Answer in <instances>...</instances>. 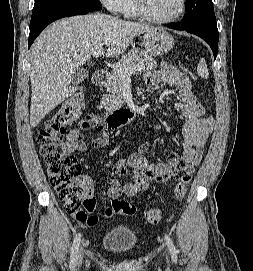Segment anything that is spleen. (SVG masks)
Instances as JSON below:
<instances>
[{
    "label": "spleen",
    "mask_w": 253,
    "mask_h": 271,
    "mask_svg": "<svg viewBox=\"0 0 253 271\" xmlns=\"http://www.w3.org/2000/svg\"><path fill=\"white\" fill-rule=\"evenodd\" d=\"M197 73L200 77L207 79L209 77V71L207 69L206 61L204 58L200 59L197 66Z\"/></svg>",
    "instance_id": "spleen-1"
}]
</instances>
